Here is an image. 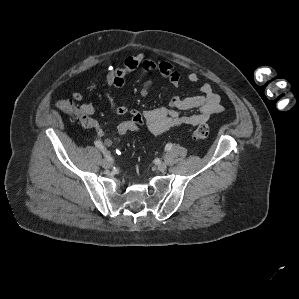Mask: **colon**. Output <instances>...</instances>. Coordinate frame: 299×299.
I'll use <instances>...</instances> for the list:
<instances>
[{"label": "colon", "instance_id": "1", "mask_svg": "<svg viewBox=\"0 0 299 299\" xmlns=\"http://www.w3.org/2000/svg\"><path fill=\"white\" fill-rule=\"evenodd\" d=\"M59 110L72 118L78 120L82 125L88 126L91 123V118L82 110L81 106L76 105L70 99H62L56 103ZM141 129V125L135 119L129 118L121 121L116 127V133L120 138H124L130 134L136 133ZM210 135L208 125L201 124L196 127L191 136L195 140H203Z\"/></svg>", "mask_w": 299, "mask_h": 299}]
</instances>
